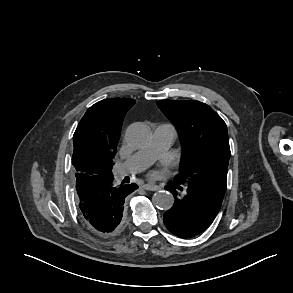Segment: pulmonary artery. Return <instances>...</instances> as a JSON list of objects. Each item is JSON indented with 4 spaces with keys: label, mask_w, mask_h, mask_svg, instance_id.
<instances>
[{
    "label": "pulmonary artery",
    "mask_w": 293,
    "mask_h": 293,
    "mask_svg": "<svg viewBox=\"0 0 293 293\" xmlns=\"http://www.w3.org/2000/svg\"><path fill=\"white\" fill-rule=\"evenodd\" d=\"M176 138L173 126L158 125L153 132L151 144L144 150L135 153L127 159L116 173L117 178L139 172L148 167L161 153L170 147Z\"/></svg>",
    "instance_id": "obj_1"
}]
</instances>
